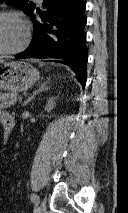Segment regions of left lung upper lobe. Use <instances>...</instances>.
Here are the masks:
<instances>
[{
	"instance_id": "obj_1",
	"label": "left lung upper lobe",
	"mask_w": 128,
	"mask_h": 213,
	"mask_svg": "<svg viewBox=\"0 0 128 213\" xmlns=\"http://www.w3.org/2000/svg\"><path fill=\"white\" fill-rule=\"evenodd\" d=\"M3 1H5L6 3L14 7L20 8L27 14L32 12L35 7V5L32 2H29V0H0V2H3Z\"/></svg>"
}]
</instances>
